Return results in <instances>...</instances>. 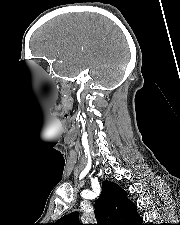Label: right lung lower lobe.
Instances as JSON below:
<instances>
[{
    "label": "right lung lower lobe",
    "mask_w": 180,
    "mask_h": 225,
    "mask_svg": "<svg viewBox=\"0 0 180 225\" xmlns=\"http://www.w3.org/2000/svg\"><path fill=\"white\" fill-rule=\"evenodd\" d=\"M134 225H144V224L142 223V218H140V219L138 220L137 223H134Z\"/></svg>",
    "instance_id": "1"
}]
</instances>
